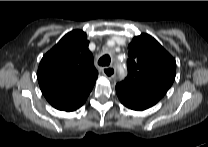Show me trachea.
<instances>
[{
  "mask_svg": "<svg viewBox=\"0 0 208 147\" xmlns=\"http://www.w3.org/2000/svg\"><path fill=\"white\" fill-rule=\"evenodd\" d=\"M111 61V58L109 55H103L99 60H98V64L100 66H109Z\"/></svg>",
  "mask_w": 208,
  "mask_h": 147,
  "instance_id": "3493384b",
  "label": "trachea"
}]
</instances>
